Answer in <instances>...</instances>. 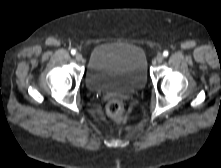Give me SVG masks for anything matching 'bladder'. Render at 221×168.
<instances>
[{"label":"bladder","mask_w":221,"mask_h":168,"mask_svg":"<svg viewBox=\"0 0 221 168\" xmlns=\"http://www.w3.org/2000/svg\"><path fill=\"white\" fill-rule=\"evenodd\" d=\"M147 79L146 54L138 45L104 43L90 53L85 83L92 92L125 95L143 88Z\"/></svg>","instance_id":"31cf9c89"}]
</instances>
